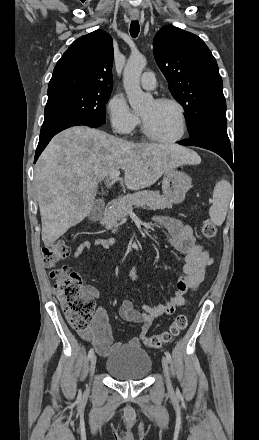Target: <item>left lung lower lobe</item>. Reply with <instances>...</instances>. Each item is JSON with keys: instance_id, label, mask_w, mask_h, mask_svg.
<instances>
[{"instance_id": "left-lung-lower-lobe-1", "label": "left lung lower lobe", "mask_w": 259, "mask_h": 440, "mask_svg": "<svg viewBox=\"0 0 259 440\" xmlns=\"http://www.w3.org/2000/svg\"><path fill=\"white\" fill-rule=\"evenodd\" d=\"M181 145L197 146L220 155L232 167V151L227 135V123L209 122L202 125Z\"/></svg>"}]
</instances>
